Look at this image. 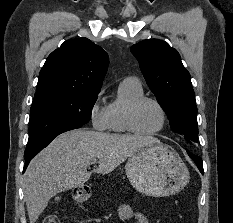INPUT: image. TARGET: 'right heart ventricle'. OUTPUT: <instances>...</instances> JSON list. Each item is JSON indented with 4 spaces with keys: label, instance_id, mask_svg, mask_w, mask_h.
I'll use <instances>...</instances> for the list:
<instances>
[{
    "label": "right heart ventricle",
    "instance_id": "1",
    "mask_svg": "<svg viewBox=\"0 0 233 223\" xmlns=\"http://www.w3.org/2000/svg\"><path fill=\"white\" fill-rule=\"evenodd\" d=\"M144 91L139 81L125 80L118 87V95L108 105V129L119 134H130L127 126V109Z\"/></svg>",
    "mask_w": 233,
    "mask_h": 223
}]
</instances>
